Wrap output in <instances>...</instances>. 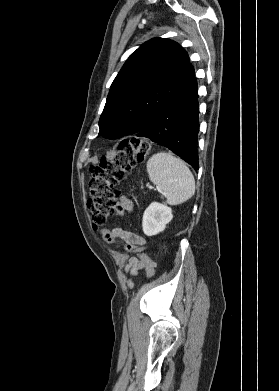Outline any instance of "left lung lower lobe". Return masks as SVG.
<instances>
[{
	"label": "left lung lower lobe",
	"instance_id": "1",
	"mask_svg": "<svg viewBox=\"0 0 279 391\" xmlns=\"http://www.w3.org/2000/svg\"><path fill=\"white\" fill-rule=\"evenodd\" d=\"M197 80L168 103L137 136L162 144L198 169L197 135L199 131Z\"/></svg>",
	"mask_w": 279,
	"mask_h": 391
}]
</instances>
